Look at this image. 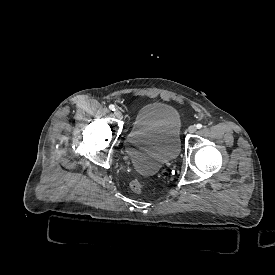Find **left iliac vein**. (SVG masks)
I'll return each mask as SVG.
<instances>
[{
  "label": "left iliac vein",
  "instance_id": "1",
  "mask_svg": "<svg viewBox=\"0 0 275 275\" xmlns=\"http://www.w3.org/2000/svg\"><path fill=\"white\" fill-rule=\"evenodd\" d=\"M196 126H194V125H191L189 128H188V133H190V134H193V133H195L196 132Z\"/></svg>",
  "mask_w": 275,
  "mask_h": 275
}]
</instances>
